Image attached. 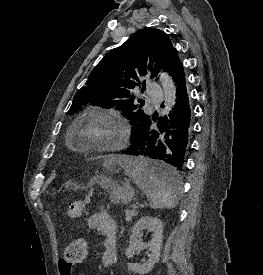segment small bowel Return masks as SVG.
I'll use <instances>...</instances> for the list:
<instances>
[{"label":"small bowel","instance_id":"c3829d8e","mask_svg":"<svg viewBox=\"0 0 263 275\" xmlns=\"http://www.w3.org/2000/svg\"><path fill=\"white\" fill-rule=\"evenodd\" d=\"M87 229L97 230L102 236V253L100 263L103 267L109 268L117 261V224L105 209L91 214L85 221ZM60 275H71V272H64L59 266Z\"/></svg>","mask_w":263,"mask_h":275}]
</instances>
